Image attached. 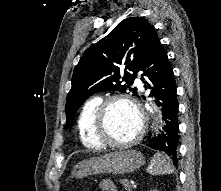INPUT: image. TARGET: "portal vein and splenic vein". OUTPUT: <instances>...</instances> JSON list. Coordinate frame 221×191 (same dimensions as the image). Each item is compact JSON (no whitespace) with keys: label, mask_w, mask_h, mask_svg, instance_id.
I'll use <instances>...</instances> for the list:
<instances>
[{"label":"portal vein and splenic vein","mask_w":221,"mask_h":191,"mask_svg":"<svg viewBox=\"0 0 221 191\" xmlns=\"http://www.w3.org/2000/svg\"><path fill=\"white\" fill-rule=\"evenodd\" d=\"M131 184H132V186H133L134 188H136V185H135L134 181H131Z\"/></svg>","instance_id":"1"}]
</instances>
